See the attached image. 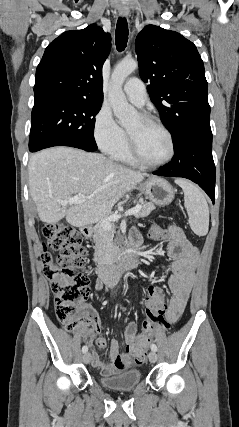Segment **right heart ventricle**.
Instances as JSON below:
<instances>
[{"mask_svg":"<svg viewBox=\"0 0 239 427\" xmlns=\"http://www.w3.org/2000/svg\"><path fill=\"white\" fill-rule=\"evenodd\" d=\"M112 157L115 160L120 161V162L129 163V164L135 163V161L132 159V157L129 154L127 141L123 147H121L116 153H114L112 155Z\"/></svg>","mask_w":239,"mask_h":427,"instance_id":"right-heart-ventricle-1","label":"right heart ventricle"}]
</instances>
